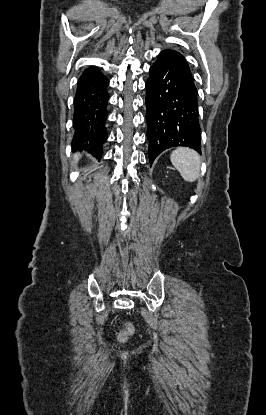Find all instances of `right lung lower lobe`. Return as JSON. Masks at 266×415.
<instances>
[{"mask_svg":"<svg viewBox=\"0 0 266 415\" xmlns=\"http://www.w3.org/2000/svg\"><path fill=\"white\" fill-rule=\"evenodd\" d=\"M108 84L97 67L88 68L78 80L74 98L72 149L88 151L98 159L107 139Z\"/></svg>","mask_w":266,"mask_h":415,"instance_id":"right-lung-lower-lobe-1","label":"right lung lower lobe"}]
</instances>
